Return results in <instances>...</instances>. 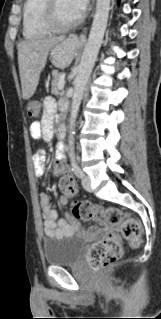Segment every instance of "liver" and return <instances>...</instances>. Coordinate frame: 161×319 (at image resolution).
Wrapping results in <instances>:
<instances>
[{
  "instance_id": "1",
  "label": "liver",
  "mask_w": 161,
  "mask_h": 319,
  "mask_svg": "<svg viewBox=\"0 0 161 319\" xmlns=\"http://www.w3.org/2000/svg\"><path fill=\"white\" fill-rule=\"evenodd\" d=\"M63 39L62 36L49 37L21 41L18 44L19 74L23 99L27 100L35 93L49 51Z\"/></svg>"
}]
</instances>
